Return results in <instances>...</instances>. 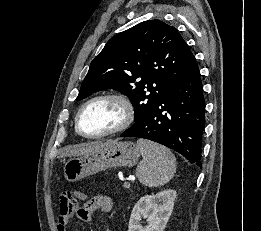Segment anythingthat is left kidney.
<instances>
[{
	"instance_id": "5707ae66",
	"label": "left kidney",
	"mask_w": 261,
	"mask_h": 231,
	"mask_svg": "<svg viewBox=\"0 0 261 231\" xmlns=\"http://www.w3.org/2000/svg\"><path fill=\"white\" fill-rule=\"evenodd\" d=\"M175 198V190H165L155 195L141 197L131 212L128 231H164ZM142 218L147 221L145 227L140 224Z\"/></svg>"
}]
</instances>
